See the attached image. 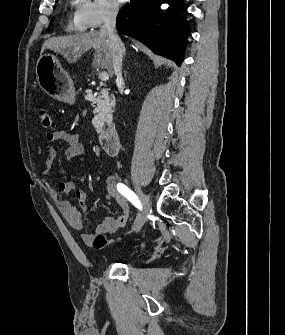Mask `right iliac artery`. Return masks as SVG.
<instances>
[{
	"label": "right iliac artery",
	"instance_id": "82829eb1",
	"mask_svg": "<svg viewBox=\"0 0 285 335\" xmlns=\"http://www.w3.org/2000/svg\"><path fill=\"white\" fill-rule=\"evenodd\" d=\"M117 190L125 196L135 207L142 209V205L137 197V195L131 191L126 185L122 183L117 184Z\"/></svg>",
	"mask_w": 285,
	"mask_h": 335
}]
</instances>
